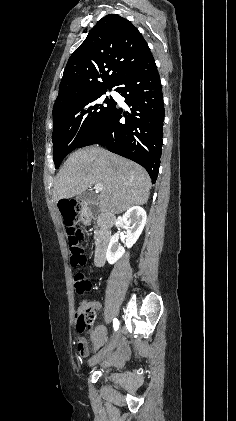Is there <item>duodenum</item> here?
<instances>
[{
	"label": "duodenum",
	"instance_id": "1",
	"mask_svg": "<svg viewBox=\"0 0 236 421\" xmlns=\"http://www.w3.org/2000/svg\"><path fill=\"white\" fill-rule=\"evenodd\" d=\"M77 210L80 220L83 224L88 225L94 220H98L101 226V232L99 234L95 251H94V263L96 266H103L106 261V256L111 240V228L115 223V216L100 207L96 201L85 200L74 204ZM103 338V332H98L96 341H101ZM126 353V348L121 346L118 353L111 358L114 363H120Z\"/></svg>",
	"mask_w": 236,
	"mask_h": 421
}]
</instances>
